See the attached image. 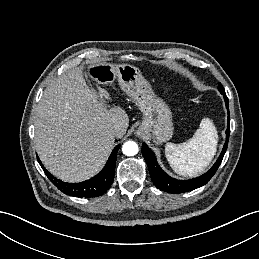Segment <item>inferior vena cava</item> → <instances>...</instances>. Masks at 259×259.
Wrapping results in <instances>:
<instances>
[{"label": "inferior vena cava", "mask_w": 259, "mask_h": 259, "mask_svg": "<svg viewBox=\"0 0 259 259\" xmlns=\"http://www.w3.org/2000/svg\"><path fill=\"white\" fill-rule=\"evenodd\" d=\"M119 132H120L119 126L115 125V126H113V127L111 128V133H112L113 135H118Z\"/></svg>", "instance_id": "inferior-vena-cava-1"}]
</instances>
